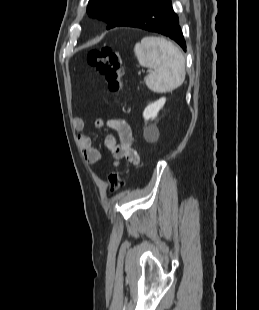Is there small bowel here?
Segmentation results:
<instances>
[{"mask_svg":"<svg viewBox=\"0 0 259 310\" xmlns=\"http://www.w3.org/2000/svg\"><path fill=\"white\" fill-rule=\"evenodd\" d=\"M73 128L79 132L77 143L85 160L89 163H96L101 158V153L96 149L92 140L86 134L80 133L84 130L85 123L82 118L75 117L73 119ZM98 129H113L117 131L119 136V143H117L115 136L112 133L107 134L104 140V145L111 152L114 164L118 165L119 162L125 159L129 164L136 165L139 163V155L133 148V132L131 126L121 119H109L104 122L98 118L95 122Z\"/></svg>","mask_w":259,"mask_h":310,"instance_id":"c3829d8e","label":"small bowel"}]
</instances>
